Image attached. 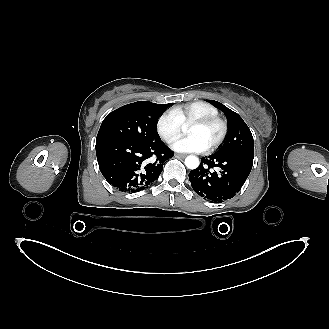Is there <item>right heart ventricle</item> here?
<instances>
[{"mask_svg":"<svg viewBox=\"0 0 329 329\" xmlns=\"http://www.w3.org/2000/svg\"><path fill=\"white\" fill-rule=\"evenodd\" d=\"M181 124H188L200 117L217 116L218 110L211 104L204 101H194L173 109Z\"/></svg>","mask_w":329,"mask_h":329,"instance_id":"e07e8e85","label":"right heart ventricle"}]
</instances>
